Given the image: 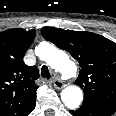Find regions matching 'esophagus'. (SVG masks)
I'll return each mask as SVG.
<instances>
[{"label": "esophagus", "mask_w": 116, "mask_h": 116, "mask_svg": "<svg viewBox=\"0 0 116 116\" xmlns=\"http://www.w3.org/2000/svg\"><path fill=\"white\" fill-rule=\"evenodd\" d=\"M52 82H53L54 87L57 89H62L65 87L64 82L61 81L59 78H54Z\"/></svg>", "instance_id": "1"}]
</instances>
